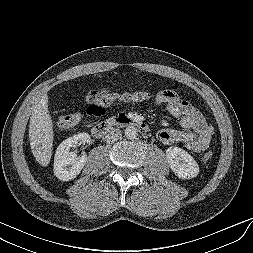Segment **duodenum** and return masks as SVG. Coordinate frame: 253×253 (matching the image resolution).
<instances>
[{
  "mask_svg": "<svg viewBox=\"0 0 253 253\" xmlns=\"http://www.w3.org/2000/svg\"><path fill=\"white\" fill-rule=\"evenodd\" d=\"M130 126L139 128L145 132L149 131V126L142 120L136 118H130L124 114L116 115L109 120H105L102 122L97 123L91 129V133L96 138H103L105 137L112 127L114 126Z\"/></svg>",
  "mask_w": 253,
  "mask_h": 253,
  "instance_id": "410a0bca",
  "label": "duodenum"
}]
</instances>
